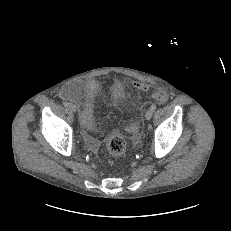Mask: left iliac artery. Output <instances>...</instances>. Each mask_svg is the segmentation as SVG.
I'll return each mask as SVG.
<instances>
[{
	"mask_svg": "<svg viewBox=\"0 0 231 231\" xmlns=\"http://www.w3.org/2000/svg\"><path fill=\"white\" fill-rule=\"evenodd\" d=\"M150 109H151L152 111H155V110H156V105H155V104H152L151 107H150Z\"/></svg>",
	"mask_w": 231,
	"mask_h": 231,
	"instance_id": "1",
	"label": "left iliac artery"
}]
</instances>
